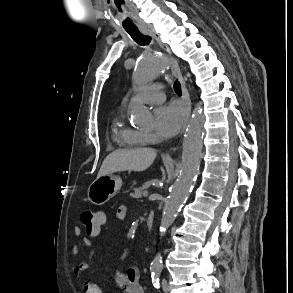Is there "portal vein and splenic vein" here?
Here are the masks:
<instances>
[{
	"label": "portal vein and splenic vein",
	"instance_id": "obj_1",
	"mask_svg": "<svg viewBox=\"0 0 293 293\" xmlns=\"http://www.w3.org/2000/svg\"><path fill=\"white\" fill-rule=\"evenodd\" d=\"M148 195H149V192L148 191H144L143 196L144 197H147Z\"/></svg>",
	"mask_w": 293,
	"mask_h": 293
}]
</instances>
